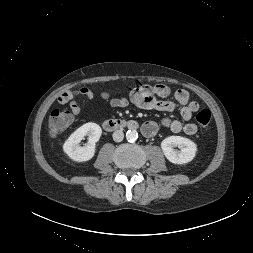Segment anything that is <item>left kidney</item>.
Listing matches in <instances>:
<instances>
[{
  "instance_id": "5707ae66",
  "label": "left kidney",
  "mask_w": 253,
  "mask_h": 253,
  "mask_svg": "<svg viewBox=\"0 0 253 253\" xmlns=\"http://www.w3.org/2000/svg\"><path fill=\"white\" fill-rule=\"evenodd\" d=\"M179 147L180 151L174 149ZM165 157L174 164H185L192 161L196 155L197 145L190 139L181 136H170L161 142Z\"/></svg>"
}]
</instances>
